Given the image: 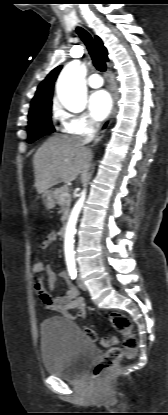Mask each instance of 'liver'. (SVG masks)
<instances>
[{
    "instance_id": "6515ba94",
    "label": "liver",
    "mask_w": 168,
    "mask_h": 415,
    "mask_svg": "<svg viewBox=\"0 0 168 415\" xmlns=\"http://www.w3.org/2000/svg\"><path fill=\"white\" fill-rule=\"evenodd\" d=\"M81 137L58 135L49 138L35 153V188L43 194L60 182L74 181L91 159Z\"/></svg>"
}]
</instances>
